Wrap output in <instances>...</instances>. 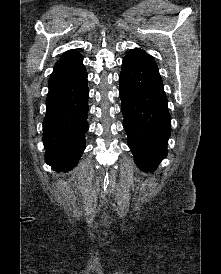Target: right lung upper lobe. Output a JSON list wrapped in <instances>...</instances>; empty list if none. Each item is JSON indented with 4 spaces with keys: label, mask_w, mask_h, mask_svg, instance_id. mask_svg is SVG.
I'll use <instances>...</instances> for the list:
<instances>
[{
    "label": "right lung upper lobe",
    "mask_w": 221,
    "mask_h": 274,
    "mask_svg": "<svg viewBox=\"0 0 221 274\" xmlns=\"http://www.w3.org/2000/svg\"><path fill=\"white\" fill-rule=\"evenodd\" d=\"M80 58H82V56L80 55L79 52H77L75 50H69V51L65 52L62 55V57L56 62L54 69L63 67L70 63H73V62L79 60Z\"/></svg>",
    "instance_id": "right-lung-upper-lobe-1"
}]
</instances>
